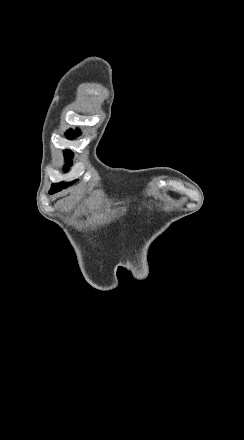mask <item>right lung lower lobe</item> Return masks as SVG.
I'll list each match as a JSON object with an SVG mask.
<instances>
[{
	"label": "right lung lower lobe",
	"instance_id": "1",
	"mask_svg": "<svg viewBox=\"0 0 244 440\" xmlns=\"http://www.w3.org/2000/svg\"><path fill=\"white\" fill-rule=\"evenodd\" d=\"M61 189L62 188L52 186L51 190L49 191V194H54V193L60 191Z\"/></svg>",
	"mask_w": 244,
	"mask_h": 440
}]
</instances>
